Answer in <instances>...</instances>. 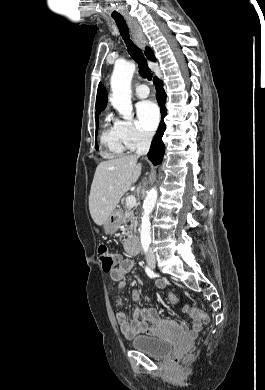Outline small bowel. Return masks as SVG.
<instances>
[{"instance_id": "small-bowel-1", "label": "small bowel", "mask_w": 265, "mask_h": 390, "mask_svg": "<svg viewBox=\"0 0 265 390\" xmlns=\"http://www.w3.org/2000/svg\"><path fill=\"white\" fill-rule=\"evenodd\" d=\"M115 256L117 267L109 274L113 281L118 282V289L121 291L125 286V277L134 269L135 263L133 260L124 259L120 255ZM156 286L158 288H164L165 283L162 280H158ZM131 297L133 301H138L141 297L140 291L134 290ZM116 322L122 334L127 338H131L138 334L156 335L163 320L161 319L159 312L153 308H137L130 321L127 319L124 312L118 311L116 313ZM202 326L203 324L200 320L193 319L192 327L187 331V335L189 337H195L202 329ZM180 329L186 331L187 327L185 324H181Z\"/></svg>"}]
</instances>
